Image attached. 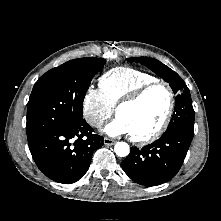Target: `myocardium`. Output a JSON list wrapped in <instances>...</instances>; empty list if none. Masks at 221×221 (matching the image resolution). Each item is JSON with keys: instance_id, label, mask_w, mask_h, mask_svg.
<instances>
[{"instance_id": "myocardium-1", "label": "myocardium", "mask_w": 221, "mask_h": 221, "mask_svg": "<svg viewBox=\"0 0 221 221\" xmlns=\"http://www.w3.org/2000/svg\"><path fill=\"white\" fill-rule=\"evenodd\" d=\"M158 85L164 86L168 92L169 103H168L166 114L161 124L152 133L146 136H142V137H135L130 134L131 141L136 144L143 145V144H148V143L156 141L168 127L169 122L174 112V107H175V94H174L172 87L166 81L156 79L154 81L145 83L144 85L140 86L138 89H136L135 91L127 95L125 98L120 100L116 105L115 113H116V116H118L119 111L123 107L136 104L142 99V97L147 93V91H149L151 88L158 86Z\"/></svg>"}]
</instances>
